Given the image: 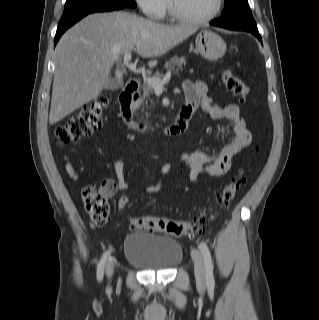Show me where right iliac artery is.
Returning a JSON list of instances; mask_svg holds the SVG:
<instances>
[{"instance_id": "obj_1", "label": "right iliac artery", "mask_w": 319, "mask_h": 320, "mask_svg": "<svg viewBox=\"0 0 319 320\" xmlns=\"http://www.w3.org/2000/svg\"><path fill=\"white\" fill-rule=\"evenodd\" d=\"M108 257H109V252L104 253L103 257L101 258V260L98 264V269H97L98 280H101L103 278L104 267H105V263H106Z\"/></svg>"}]
</instances>
